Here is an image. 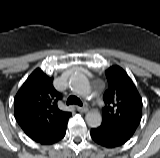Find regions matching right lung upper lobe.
I'll use <instances>...</instances> for the list:
<instances>
[{
  "instance_id": "right-lung-upper-lobe-1",
  "label": "right lung upper lobe",
  "mask_w": 160,
  "mask_h": 158,
  "mask_svg": "<svg viewBox=\"0 0 160 158\" xmlns=\"http://www.w3.org/2000/svg\"><path fill=\"white\" fill-rule=\"evenodd\" d=\"M52 81V77L37 68L14 98L15 118L26 135L36 142L57 133L71 116L58 108L62 96Z\"/></svg>"
}]
</instances>
